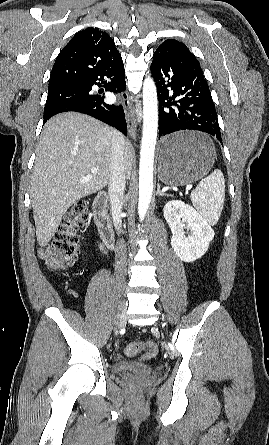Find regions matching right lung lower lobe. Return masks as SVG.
<instances>
[{
  "label": "right lung lower lobe",
  "mask_w": 269,
  "mask_h": 445,
  "mask_svg": "<svg viewBox=\"0 0 269 445\" xmlns=\"http://www.w3.org/2000/svg\"><path fill=\"white\" fill-rule=\"evenodd\" d=\"M105 78L108 81H104ZM101 83H104L105 89L110 92L118 93L125 90L126 82L122 59L89 76L82 83L85 86L84 91L73 96L69 101L57 105L49 114L44 116L43 123L58 113L75 111L97 118L127 135L123 107L106 104L104 95L90 93L93 85L101 86Z\"/></svg>",
  "instance_id": "right-lung-lower-lobe-1"
}]
</instances>
